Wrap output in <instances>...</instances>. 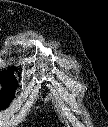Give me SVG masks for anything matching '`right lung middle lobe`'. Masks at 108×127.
I'll return each mask as SVG.
<instances>
[{
	"mask_svg": "<svg viewBox=\"0 0 108 127\" xmlns=\"http://www.w3.org/2000/svg\"><path fill=\"white\" fill-rule=\"evenodd\" d=\"M0 82L4 88L0 92V109L8 107L14 97L13 88L16 86V79L10 72L3 71Z\"/></svg>",
	"mask_w": 108,
	"mask_h": 127,
	"instance_id": "obj_1",
	"label": "right lung middle lobe"
}]
</instances>
